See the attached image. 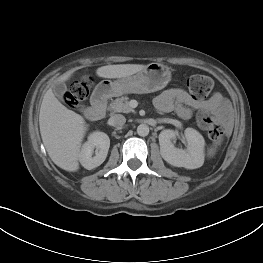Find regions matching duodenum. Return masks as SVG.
I'll use <instances>...</instances> for the list:
<instances>
[{
    "label": "duodenum",
    "mask_w": 263,
    "mask_h": 263,
    "mask_svg": "<svg viewBox=\"0 0 263 263\" xmlns=\"http://www.w3.org/2000/svg\"><path fill=\"white\" fill-rule=\"evenodd\" d=\"M108 95V88L102 86L96 89L92 96L91 106L86 111V116L89 120L97 121L105 116Z\"/></svg>",
    "instance_id": "duodenum-1"
}]
</instances>
